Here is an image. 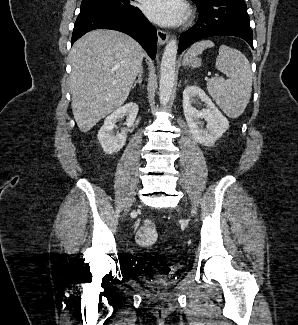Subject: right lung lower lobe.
Listing matches in <instances>:
<instances>
[{"label": "right lung lower lobe", "mask_w": 298, "mask_h": 325, "mask_svg": "<svg viewBox=\"0 0 298 325\" xmlns=\"http://www.w3.org/2000/svg\"><path fill=\"white\" fill-rule=\"evenodd\" d=\"M99 28L118 30L138 41L147 54L155 59L157 31L139 8L80 13L75 22L71 43L85 33Z\"/></svg>", "instance_id": "1"}]
</instances>
